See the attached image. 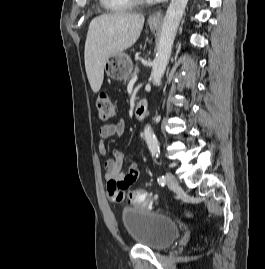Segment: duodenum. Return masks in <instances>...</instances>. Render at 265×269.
Returning a JSON list of instances; mask_svg holds the SVG:
<instances>
[{
	"label": "duodenum",
	"instance_id": "duodenum-1",
	"mask_svg": "<svg viewBox=\"0 0 265 269\" xmlns=\"http://www.w3.org/2000/svg\"><path fill=\"white\" fill-rule=\"evenodd\" d=\"M147 111V102L145 100H141L137 103L135 108V117L137 119H141L145 116Z\"/></svg>",
	"mask_w": 265,
	"mask_h": 269
}]
</instances>
